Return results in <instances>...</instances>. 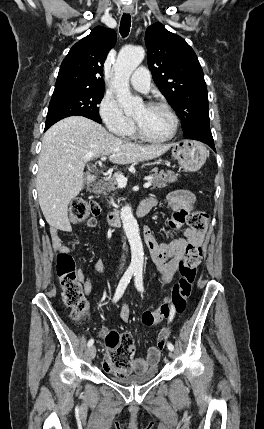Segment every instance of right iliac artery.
Masks as SVG:
<instances>
[{
  "mask_svg": "<svg viewBox=\"0 0 264 429\" xmlns=\"http://www.w3.org/2000/svg\"><path fill=\"white\" fill-rule=\"evenodd\" d=\"M134 273H135V269L134 268L129 267L126 270V272L122 276V278H121V280H120V282H119V284L117 286L115 295L113 297V302H117L122 297V295H123V293H124V291H125L128 283L130 282V280H131V278H132V276H133ZM93 343H94V340L90 339L88 341V344H87L88 347H91L93 345Z\"/></svg>",
  "mask_w": 264,
  "mask_h": 429,
  "instance_id": "82829eb1",
  "label": "right iliac artery"
}]
</instances>
